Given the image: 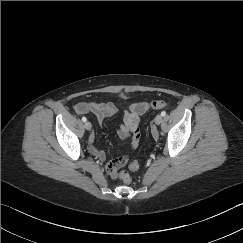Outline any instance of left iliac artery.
Listing matches in <instances>:
<instances>
[{"instance_id":"44dca946","label":"left iliac artery","mask_w":243,"mask_h":243,"mask_svg":"<svg viewBox=\"0 0 243 243\" xmlns=\"http://www.w3.org/2000/svg\"><path fill=\"white\" fill-rule=\"evenodd\" d=\"M165 115H166V112H165V111H162V112H161V116L164 117Z\"/></svg>"}]
</instances>
